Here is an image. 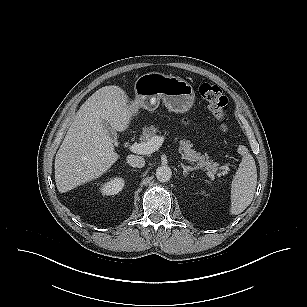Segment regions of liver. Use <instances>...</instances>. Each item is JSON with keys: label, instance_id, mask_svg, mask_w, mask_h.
Instances as JSON below:
<instances>
[{"label": "liver", "instance_id": "1", "mask_svg": "<svg viewBox=\"0 0 307 307\" xmlns=\"http://www.w3.org/2000/svg\"><path fill=\"white\" fill-rule=\"evenodd\" d=\"M125 91L116 85L97 90L82 104L55 157V182L60 193L100 177L119 158L103 125L125 131L132 110Z\"/></svg>", "mask_w": 307, "mask_h": 307}]
</instances>
